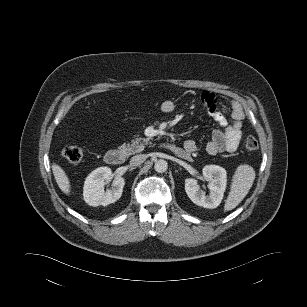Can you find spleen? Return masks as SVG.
<instances>
[{
  "label": "spleen",
  "instance_id": "spleen-1",
  "mask_svg": "<svg viewBox=\"0 0 307 307\" xmlns=\"http://www.w3.org/2000/svg\"><path fill=\"white\" fill-rule=\"evenodd\" d=\"M255 176V171L251 166L244 164L237 167L229 195L225 201V211L234 209L245 198L253 185Z\"/></svg>",
  "mask_w": 307,
  "mask_h": 307
}]
</instances>
